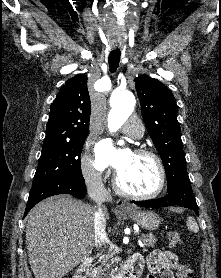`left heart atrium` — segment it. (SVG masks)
I'll list each match as a JSON object with an SVG mask.
<instances>
[{"mask_svg":"<svg viewBox=\"0 0 221 278\" xmlns=\"http://www.w3.org/2000/svg\"><path fill=\"white\" fill-rule=\"evenodd\" d=\"M128 150H117L110 141L104 140L97 145L96 159L100 168L111 166L119 170L130 155Z\"/></svg>","mask_w":221,"mask_h":278,"instance_id":"39dd6f15","label":"left heart atrium"}]
</instances>
